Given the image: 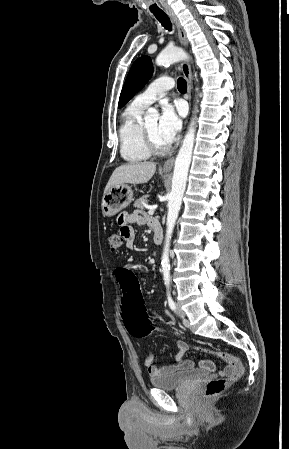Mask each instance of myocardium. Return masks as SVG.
Wrapping results in <instances>:
<instances>
[{
  "label": "myocardium",
  "mask_w": 289,
  "mask_h": 449,
  "mask_svg": "<svg viewBox=\"0 0 289 449\" xmlns=\"http://www.w3.org/2000/svg\"><path fill=\"white\" fill-rule=\"evenodd\" d=\"M142 134H143V139H144L146 149L148 150V152L150 154L156 155V156H161V155H165L166 153H168L170 151L169 145H167L165 147H160L155 143V141L152 139L148 129L146 128L145 124L142 125Z\"/></svg>",
  "instance_id": "1"
}]
</instances>
